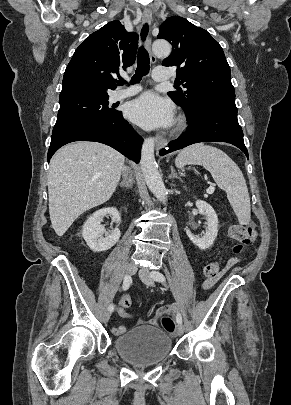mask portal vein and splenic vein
<instances>
[{
	"label": "portal vein and splenic vein",
	"mask_w": 291,
	"mask_h": 405,
	"mask_svg": "<svg viewBox=\"0 0 291 405\" xmlns=\"http://www.w3.org/2000/svg\"><path fill=\"white\" fill-rule=\"evenodd\" d=\"M214 190H215V188H214L213 186H210V187L207 189V193H208V194H212V193L214 192Z\"/></svg>",
	"instance_id": "1"
}]
</instances>
